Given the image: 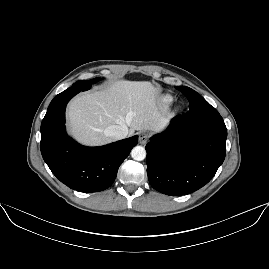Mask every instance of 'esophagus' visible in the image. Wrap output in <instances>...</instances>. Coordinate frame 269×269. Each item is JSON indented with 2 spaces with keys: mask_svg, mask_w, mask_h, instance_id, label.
<instances>
[{
  "mask_svg": "<svg viewBox=\"0 0 269 269\" xmlns=\"http://www.w3.org/2000/svg\"><path fill=\"white\" fill-rule=\"evenodd\" d=\"M149 140V136L146 133H141L139 136V143L144 145Z\"/></svg>",
  "mask_w": 269,
  "mask_h": 269,
  "instance_id": "esophagus-1",
  "label": "esophagus"
}]
</instances>
